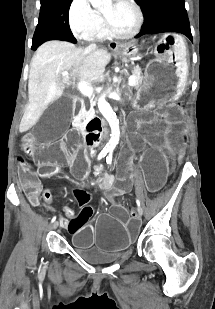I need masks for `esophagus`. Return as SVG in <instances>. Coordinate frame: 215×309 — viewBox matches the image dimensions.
Returning <instances> with one entry per match:
<instances>
[{
	"label": "esophagus",
	"instance_id": "esophagus-1",
	"mask_svg": "<svg viewBox=\"0 0 215 309\" xmlns=\"http://www.w3.org/2000/svg\"><path fill=\"white\" fill-rule=\"evenodd\" d=\"M120 46H121V44H119L118 42H110V44H109V47L111 49H115V48L120 47Z\"/></svg>",
	"mask_w": 215,
	"mask_h": 309
}]
</instances>
